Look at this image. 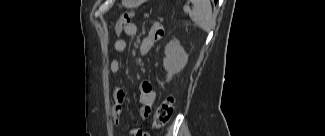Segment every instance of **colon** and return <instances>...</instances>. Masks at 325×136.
<instances>
[{
	"mask_svg": "<svg viewBox=\"0 0 325 136\" xmlns=\"http://www.w3.org/2000/svg\"><path fill=\"white\" fill-rule=\"evenodd\" d=\"M133 17H134L133 11H126L125 13H123L119 17L116 23L115 33L117 35H120L124 31L125 27L132 23ZM173 110H174V106H173L172 97H168L163 101H161L156 109L153 118V123H152L153 129L158 130L163 126H165L170 121L173 115Z\"/></svg>",
	"mask_w": 325,
	"mask_h": 136,
	"instance_id": "colon-1",
	"label": "colon"
}]
</instances>
